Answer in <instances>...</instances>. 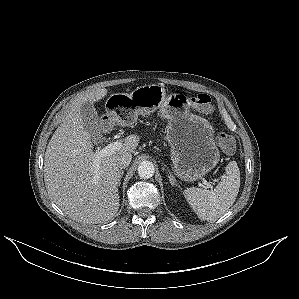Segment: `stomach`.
Segmentation results:
<instances>
[{"instance_id": "0dacf381", "label": "stomach", "mask_w": 299, "mask_h": 299, "mask_svg": "<svg viewBox=\"0 0 299 299\" xmlns=\"http://www.w3.org/2000/svg\"><path fill=\"white\" fill-rule=\"evenodd\" d=\"M112 101L115 104L107 108L109 124L129 125L138 115H149L156 110L158 116L167 121L165 139L171 149L173 171L181 180L194 182L220 161L213 127L191 111L196 104L187 95H167L161 84H151L137 87L130 94H112L108 104ZM115 110H119L123 118Z\"/></svg>"}]
</instances>
